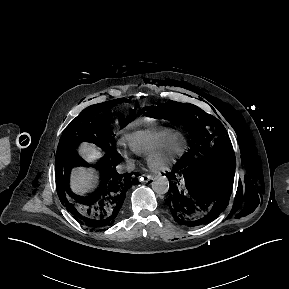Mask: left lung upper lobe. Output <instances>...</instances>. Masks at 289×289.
Masks as SVG:
<instances>
[{"instance_id":"obj_1","label":"left lung upper lobe","mask_w":289,"mask_h":289,"mask_svg":"<svg viewBox=\"0 0 289 289\" xmlns=\"http://www.w3.org/2000/svg\"><path fill=\"white\" fill-rule=\"evenodd\" d=\"M156 119H165L183 125L188 131L191 148L209 152L219 168L235 165L231 141L223 124L193 104L168 101L145 109ZM190 148V149H191ZM190 152V150H189Z\"/></svg>"}]
</instances>
